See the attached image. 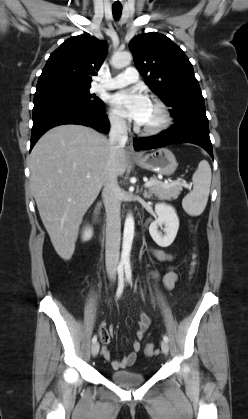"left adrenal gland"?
<instances>
[{"instance_id":"left-adrenal-gland-1","label":"left adrenal gland","mask_w":248,"mask_h":419,"mask_svg":"<svg viewBox=\"0 0 248 419\" xmlns=\"http://www.w3.org/2000/svg\"><path fill=\"white\" fill-rule=\"evenodd\" d=\"M144 198H151L152 194L150 192H147V190L143 193Z\"/></svg>"}]
</instances>
